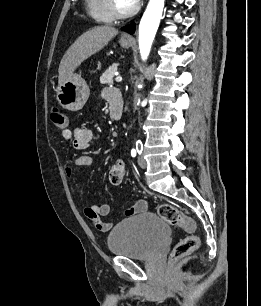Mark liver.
<instances>
[{
    "label": "liver",
    "mask_w": 261,
    "mask_h": 306,
    "mask_svg": "<svg viewBox=\"0 0 261 306\" xmlns=\"http://www.w3.org/2000/svg\"><path fill=\"white\" fill-rule=\"evenodd\" d=\"M117 34L118 30L111 26H98L83 33L69 47L60 62L59 85L68 81L84 60L103 49Z\"/></svg>",
    "instance_id": "1"
}]
</instances>
